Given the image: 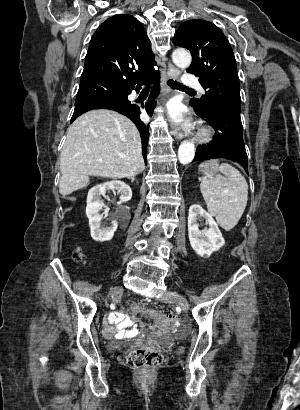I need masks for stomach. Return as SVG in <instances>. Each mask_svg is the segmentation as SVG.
<instances>
[{"label": "stomach", "instance_id": "1", "mask_svg": "<svg viewBox=\"0 0 300 410\" xmlns=\"http://www.w3.org/2000/svg\"><path fill=\"white\" fill-rule=\"evenodd\" d=\"M200 170L203 171V172L205 171L204 165L200 166ZM206 170H207L208 173H211V174L216 173L218 171V162L217 161H211V165L208 166Z\"/></svg>", "mask_w": 300, "mask_h": 410}]
</instances>
